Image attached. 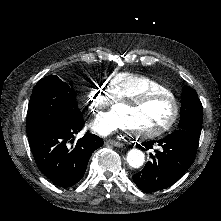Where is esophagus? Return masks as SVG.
I'll list each match as a JSON object with an SVG mask.
<instances>
[{"instance_id": "obj_1", "label": "esophagus", "mask_w": 221, "mask_h": 221, "mask_svg": "<svg viewBox=\"0 0 221 221\" xmlns=\"http://www.w3.org/2000/svg\"><path fill=\"white\" fill-rule=\"evenodd\" d=\"M106 144L107 145H112V146H115V147H123L124 146L123 142H120V141H117V140H113V139H108L106 141Z\"/></svg>"}]
</instances>
